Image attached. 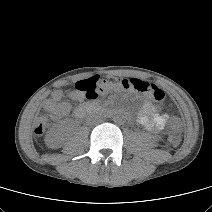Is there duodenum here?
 <instances>
[{
  "label": "duodenum",
  "mask_w": 212,
  "mask_h": 212,
  "mask_svg": "<svg viewBox=\"0 0 212 212\" xmlns=\"http://www.w3.org/2000/svg\"><path fill=\"white\" fill-rule=\"evenodd\" d=\"M94 109H102V107L94 104V103H87L79 106L75 112V117L77 119L82 118L88 111L94 110Z\"/></svg>",
  "instance_id": "410a0bca"
}]
</instances>
